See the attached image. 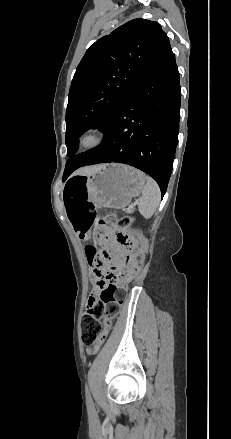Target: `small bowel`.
Segmentation results:
<instances>
[{
	"label": "small bowel",
	"instance_id": "small-bowel-1",
	"mask_svg": "<svg viewBox=\"0 0 231 439\" xmlns=\"http://www.w3.org/2000/svg\"><path fill=\"white\" fill-rule=\"evenodd\" d=\"M102 233L107 236V241L110 242L112 240V231L110 229H104V230H102ZM78 234L81 237V239H85V240L88 239L87 233L78 232ZM90 248H93V247L89 246L88 249H90ZM118 251H119V253H121V256H122V251L121 250H118ZM107 268H108V265L104 260H102V259H95L94 260V267H93L92 275H91V280L93 282V288H92V291H91L90 296L88 298L87 306L96 302L100 296V293L104 289L105 283L103 280H101L100 274H102ZM97 347L98 346L95 345L96 349H97Z\"/></svg>",
	"mask_w": 231,
	"mask_h": 439
}]
</instances>
